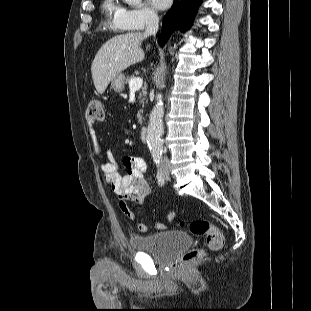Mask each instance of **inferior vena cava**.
Here are the masks:
<instances>
[{
    "label": "inferior vena cava",
    "instance_id": "602c4592",
    "mask_svg": "<svg viewBox=\"0 0 311 311\" xmlns=\"http://www.w3.org/2000/svg\"><path fill=\"white\" fill-rule=\"evenodd\" d=\"M146 29L144 32L145 36H151L156 35L158 29H159V18L155 13H149L146 17ZM162 166H168L169 165V159L164 156L161 160Z\"/></svg>",
    "mask_w": 311,
    "mask_h": 311
}]
</instances>
